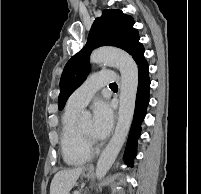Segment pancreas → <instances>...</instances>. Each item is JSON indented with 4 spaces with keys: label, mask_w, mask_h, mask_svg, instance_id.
<instances>
[{
    "label": "pancreas",
    "mask_w": 201,
    "mask_h": 194,
    "mask_svg": "<svg viewBox=\"0 0 201 194\" xmlns=\"http://www.w3.org/2000/svg\"><path fill=\"white\" fill-rule=\"evenodd\" d=\"M74 194H79L78 192H75Z\"/></svg>",
    "instance_id": "1"
}]
</instances>
